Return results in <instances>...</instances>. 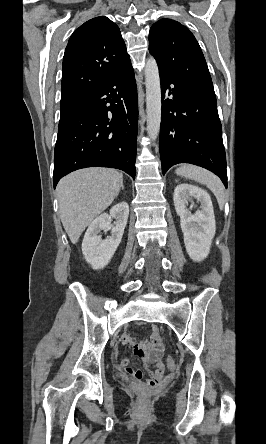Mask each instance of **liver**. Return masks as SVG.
<instances>
[{
	"mask_svg": "<svg viewBox=\"0 0 266 444\" xmlns=\"http://www.w3.org/2000/svg\"><path fill=\"white\" fill-rule=\"evenodd\" d=\"M123 175L109 168L75 171L57 185L60 218L70 241L76 244L82 232L120 192Z\"/></svg>",
	"mask_w": 266,
	"mask_h": 444,
	"instance_id": "liver-1",
	"label": "liver"
}]
</instances>
